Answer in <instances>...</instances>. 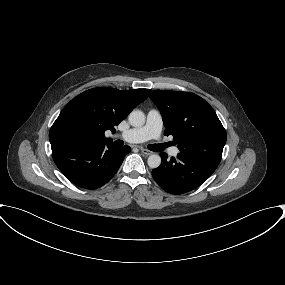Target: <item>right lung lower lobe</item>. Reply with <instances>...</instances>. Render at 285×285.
I'll list each match as a JSON object with an SVG mask.
<instances>
[{"label": "right lung lower lobe", "instance_id": "obj_1", "mask_svg": "<svg viewBox=\"0 0 285 285\" xmlns=\"http://www.w3.org/2000/svg\"><path fill=\"white\" fill-rule=\"evenodd\" d=\"M52 157L59 170L73 184L86 189H97L118 171L129 146L118 148L108 144L90 145L74 140L51 143Z\"/></svg>", "mask_w": 285, "mask_h": 285}]
</instances>
